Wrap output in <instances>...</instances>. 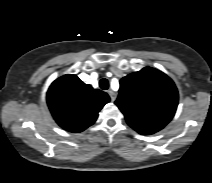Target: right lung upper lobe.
<instances>
[{
	"mask_svg": "<svg viewBox=\"0 0 212 183\" xmlns=\"http://www.w3.org/2000/svg\"><path fill=\"white\" fill-rule=\"evenodd\" d=\"M109 101L105 92L93 89L71 74L56 79L47 92V103L55 121L74 133L91 126Z\"/></svg>",
	"mask_w": 212,
	"mask_h": 183,
	"instance_id": "obj_1",
	"label": "right lung upper lobe"
}]
</instances>
